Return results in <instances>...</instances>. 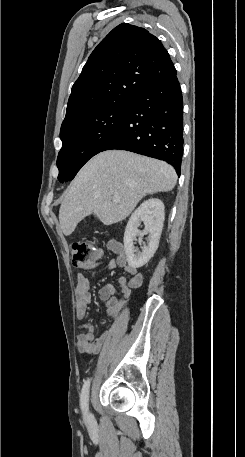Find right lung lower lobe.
<instances>
[{
	"label": "right lung lower lobe",
	"instance_id": "98d812e1",
	"mask_svg": "<svg viewBox=\"0 0 245 457\" xmlns=\"http://www.w3.org/2000/svg\"><path fill=\"white\" fill-rule=\"evenodd\" d=\"M177 73L143 88L102 151L122 149L164 160L178 176L183 155V100Z\"/></svg>",
	"mask_w": 245,
	"mask_h": 457
}]
</instances>
